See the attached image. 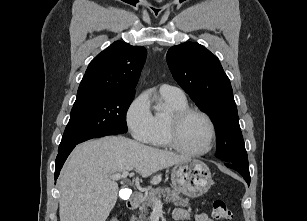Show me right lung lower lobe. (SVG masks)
I'll use <instances>...</instances> for the list:
<instances>
[{"label": "right lung lower lobe", "instance_id": "1", "mask_svg": "<svg viewBox=\"0 0 307 221\" xmlns=\"http://www.w3.org/2000/svg\"><path fill=\"white\" fill-rule=\"evenodd\" d=\"M76 145L69 147L67 149H64L62 151H58V155L56 157L55 161V180L58 178L60 174V170L67 159L68 155L71 153V151L74 149Z\"/></svg>", "mask_w": 307, "mask_h": 221}]
</instances>
